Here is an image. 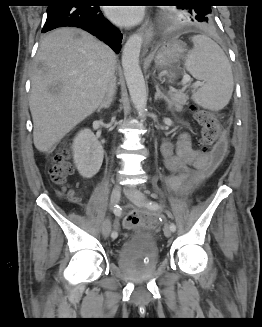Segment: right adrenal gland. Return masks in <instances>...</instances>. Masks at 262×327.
I'll return each instance as SVG.
<instances>
[{
  "label": "right adrenal gland",
  "mask_w": 262,
  "mask_h": 327,
  "mask_svg": "<svg viewBox=\"0 0 262 327\" xmlns=\"http://www.w3.org/2000/svg\"><path fill=\"white\" fill-rule=\"evenodd\" d=\"M112 103V96L107 95L105 99L102 101L100 106L98 107V111H100L102 108L108 109Z\"/></svg>",
  "instance_id": "1"
}]
</instances>
